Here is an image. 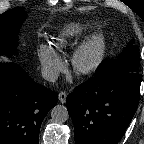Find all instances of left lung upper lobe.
<instances>
[{
  "label": "left lung upper lobe",
  "instance_id": "obj_1",
  "mask_svg": "<svg viewBox=\"0 0 144 144\" xmlns=\"http://www.w3.org/2000/svg\"><path fill=\"white\" fill-rule=\"evenodd\" d=\"M140 54L133 40L119 54L116 60L104 63L103 69L106 75H112L118 72H139Z\"/></svg>",
  "mask_w": 144,
  "mask_h": 144
}]
</instances>
